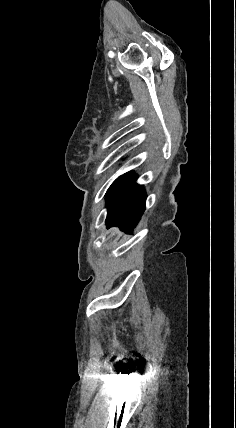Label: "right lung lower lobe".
<instances>
[{"label":"right lung lower lobe","mask_w":236,"mask_h":428,"mask_svg":"<svg viewBox=\"0 0 236 428\" xmlns=\"http://www.w3.org/2000/svg\"><path fill=\"white\" fill-rule=\"evenodd\" d=\"M136 176L129 172L106 196L107 227L119 226L123 231H131L145 210L146 193L138 185Z\"/></svg>","instance_id":"obj_1"}]
</instances>
